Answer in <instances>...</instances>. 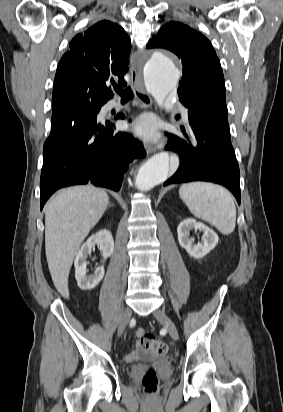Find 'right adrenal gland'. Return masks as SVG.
Instances as JSON below:
<instances>
[{
  "label": "right adrenal gland",
  "instance_id": "right-adrenal-gland-1",
  "mask_svg": "<svg viewBox=\"0 0 283 412\" xmlns=\"http://www.w3.org/2000/svg\"><path fill=\"white\" fill-rule=\"evenodd\" d=\"M109 206H114V204L109 203Z\"/></svg>",
  "mask_w": 283,
  "mask_h": 412
}]
</instances>
